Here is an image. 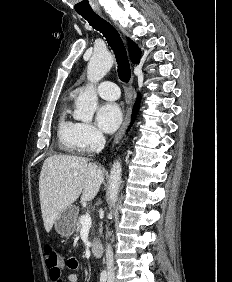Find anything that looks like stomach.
Wrapping results in <instances>:
<instances>
[{
    "mask_svg": "<svg viewBox=\"0 0 232 282\" xmlns=\"http://www.w3.org/2000/svg\"><path fill=\"white\" fill-rule=\"evenodd\" d=\"M78 209L69 205L61 211L54 222V228L61 237L69 238L75 231Z\"/></svg>",
    "mask_w": 232,
    "mask_h": 282,
    "instance_id": "obj_1",
    "label": "stomach"
}]
</instances>
